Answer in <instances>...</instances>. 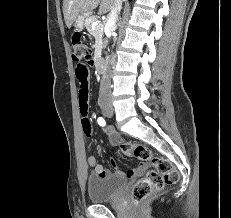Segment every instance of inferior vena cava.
Masks as SVG:
<instances>
[{
  "label": "inferior vena cava",
  "instance_id": "obj_1",
  "mask_svg": "<svg viewBox=\"0 0 231 218\" xmlns=\"http://www.w3.org/2000/svg\"><path fill=\"white\" fill-rule=\"evenodd\" d=\"M122 9V0H115L113 7L108 15L107 25L109 31L107 37H111V33L116 30V22L118 20V15ZM111 57L107 55L105 57L104 69L102 73V80L100 84L99 99H108L111 96Z\"/></svg>",
  "mask_w": 231,
  "mask_h": 218
}]
</instances>
